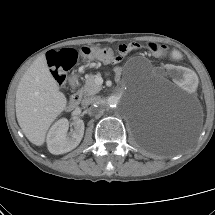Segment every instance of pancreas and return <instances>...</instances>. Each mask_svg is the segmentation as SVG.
<instances>
[{"instance_id": "1", "label": "pancreas", "mask_w": 215, "mask_h": 215, "mask_svg": "<svg viewBox=\"0 0 215 215\" xmlns=\"http://www.w3.org/2000/svg\"><path fill=\"white\" fill-rule=\"evenodd\" d=\"M102 87L95 83V75L87 74L85 76V85L78 91L81 96H91L98 93Z\"/></svg>"}]
</instances>
